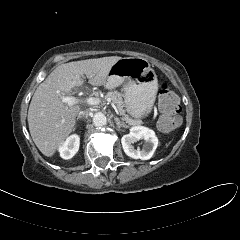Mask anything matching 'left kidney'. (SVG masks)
Here are the masks:
<instances>
[{
    "instance_id": "obj_1",
    "label": "left kidney",
    "mask_w": 240,
    "mask_h": 240,
    "mask_svg": "<svg viewBox=\"0 0 240 240\" xmlns=\"http://www.w3.org/2000/svg\"><path fill=\"white\" fill-rule=\"evenodd\" d=\"M139 140H144L143 148L135 149L133 144ZM121 143L127 156L133 159L148 160L158 146V139L153 130L143 126H134L131 127L129 134L122 137Z\"/></svg>"
}]
</instances>
